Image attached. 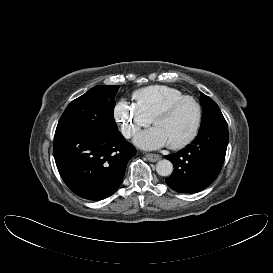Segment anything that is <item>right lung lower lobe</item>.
I'll return each mask as SVG.
<instances>
[{
  "label": "right lung lower lobe",
  "mask_w": 273,
  "mask_h": 273,
  "mask_svg": "<svg viewBox=\"0 0 273 273\" xmlns=\"http://www.w3.org/2000/svg\"><path fill=\"white\" fill-rule=\"evenodd\" d=\"M53 152L63 181L76 195L102 200L118 189L136 149L119 131H86L55 135Z\"/></svg>",
  "instance_id": "1"
}]
</instances>
